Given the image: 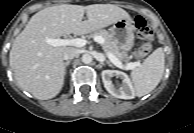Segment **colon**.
Masks as SVG:
<instances>
[{"instance_id": "obj_1", "label": "colon", "mask_w": 194, "mask_h": 133, "mask_svg": "<svg viewBox=\"0 0 194 133\" xmlns=\"http://www.w3.org/2000/svg\"><path fill=\"white\" fill-rule=\"evenodd\" d=\"M134 24L140 42L134 50L133 54L136 58H142L146 56L151 50L153 32L142 16H137L134 20Z\"/></svg>"}]
</instances>
